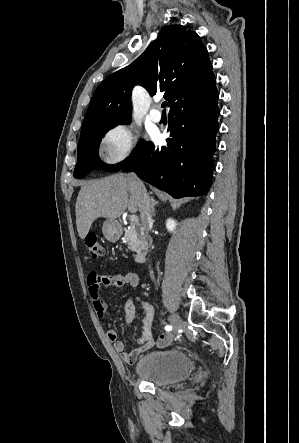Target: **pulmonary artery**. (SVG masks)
I'll list each match as a JSON object with an SVG mask.
<instances>
[{
  "label": "pulmonary artery",
  "instance_id": "1",
  "mask_svg": "<svg viewBox=\"0 0 299 443\" xmlns=\"http://www.w3.org/2000/svg\"><path fill=\"white\" fill-rule=\"evenodd\" d=\"M149 117L154 122H159L161 120V113L157 109H152Z\"/></svg>",
  "mask_w": 299,
  "mask_h": 443
}]
</instances>
